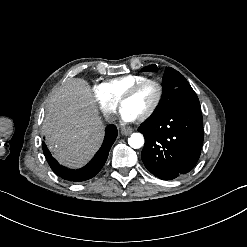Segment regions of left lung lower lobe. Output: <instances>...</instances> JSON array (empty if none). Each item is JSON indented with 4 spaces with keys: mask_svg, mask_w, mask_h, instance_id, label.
<instances>
[{
    "mask_svg": "<svg viewBox=\"0 0 247 247\" xmlns=\"http://www.w3.org/2000/svg\"><path fill=\"white\" fill-rule=\"evenodd\" d=\"M145 137L141 153L156 177L172 180L191 171L203 145L201 109L181 107L149 118L138 128Z\"/></svg>",
    "mask_w": 247,
    "mask_h": 247,
    "instance_id": "left-lung-lower-lobe-1",
    "label": "left lung lower lobe"
}]
</instances>
